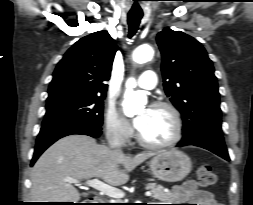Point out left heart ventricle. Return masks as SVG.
I'll return each mask as SVG.
<instances>
[{
  "label": "left heart ventricle",
  "mask_w": 253,
  "mask_h": 205,
  "mask_svg": "<svg viewBox=\"0 0 253 205\" xmlns=\"http://www.w3.org/2000/svg\"><path fill=\"white\" fill-rule=\"evenodd\" d=\"M146 109L140 111L139 115ZM140 135L149 142L160 143L169 140L174 133L171 115L164 109L150 108L144 124L138 130Z\"/></svg>",
  "instance_id": "left-heart-ventricle-1"
}]
</instances>
